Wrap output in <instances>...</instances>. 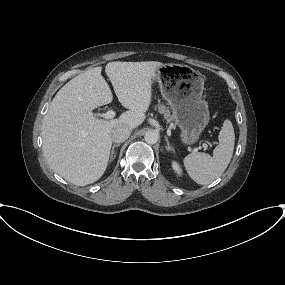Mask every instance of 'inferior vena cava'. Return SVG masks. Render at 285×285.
Segmentation results:
<instances>
[{
    "label": "inferior vena cava",
    "instance_id": "602c4592",
    "mask_svg": "<svg viewBox=\"0 0 285 285\" xmlns=\"http://www.w3.org/2000/svg\"><path fill=\"white\" fill-rule=\"evenodd\" d=\"M131 128L125 125L115 126L110 133L111 140L115 143H122L129 138Z\"/></svg>",
    "mask_w": 285,
    "mask_h": 285
}]
</instances>
